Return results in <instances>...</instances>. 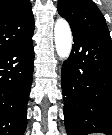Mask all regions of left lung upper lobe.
<instances>
[{"mask_svg": "<svg viewBox=\"0 0 112 135\" xmlns=\"http://www.w3.org/2000/svg\"><path fill=\"white\" fill-rule=\"evenodd\" d=\"M57 10L72 31L110 37L105 18L92 0H58Z\"/></svg>", "mask_w": 112, "mask_h": 135, "instance_id": "obj_1", "label": "left lung upper lobe"}]
</instances>
